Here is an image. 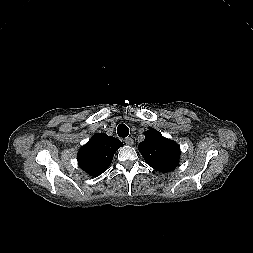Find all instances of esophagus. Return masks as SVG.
I'll use <instances>...</instances> for the list:
<instances>
[{"mask_svg": "<svg viewBox=\"0 0 253 253\" xmlns=\"http://www.w3.org/2000/svg\"><path fill=\"white\" fill-rule=\"evenodd\" d=\"M124 141H125L126 145H128V146H132L134 143L133 139L130 137L126 138Z\"/></svg>", "mask_w": 253, "mask_h": 253, "instance_id": "obj_1", "label": "esophagus"}]
</instances>
